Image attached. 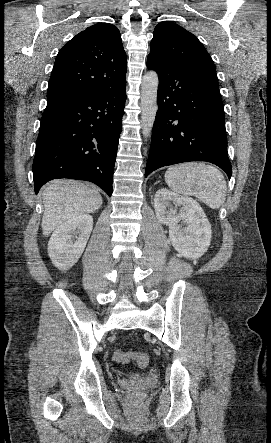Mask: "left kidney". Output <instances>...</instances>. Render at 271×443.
<instances>
[{"label":"left kidney","mask_w":271,"mask_h":443,"mask_svg":"<svg viewBox=\"0 0 271 443\" xmlns=\"http://www.w3.org/2000/svg\"><path fill=\"white\" fill-rule=\"evenodd\" d=\"M154 210L157 220L169 225L170 241L180 255L198 259L207 251L212 237L211 223L196 200L161 188L155 194ZM180 220L186 227H181Z\"/></svg>","instance_id":"1"}]
</instances>
